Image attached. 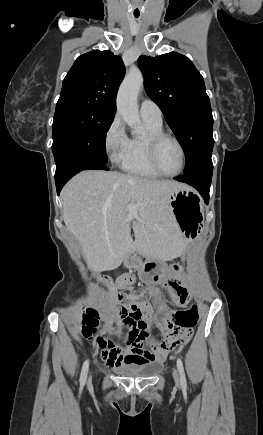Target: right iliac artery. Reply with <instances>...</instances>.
Masks as SVG:
<instances>
[{
	"instance_id": "82829eb1",
	"label": "right iliac artery",
	"mask_w": 263,
	"mask_h": 435,
	"mask_svg": "<svg viewBox=\"0 0 263 435\" xmlns=\"http://www.w3.org/2000/svg\"><path fill=\"white\" fill-rule=\"evenodd\" d=\"M88 369H89V361L86 360L83 364L82 371H81V376H80L81 385H84L86 382Z\"/></svg>"
}]
</instances>
